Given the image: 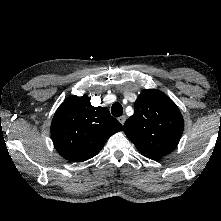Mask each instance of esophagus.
Wrapping results in <instances>:
<instances>
[{"label":"esophagus","mask_w":221,"mask_h":221,"mask_svg":"<svg viewBox=\"0 0 221 221\" xmlns=\"http://www.w3.org/2000/svg\"><path fill=\"white\" fill-rule=\"evenodd\" d=\"M127 117L125 115H122L118 118L119 122L124 125L125 121H126Z\"/></svg>","instance_id":"34e87169"}]
</instances>
